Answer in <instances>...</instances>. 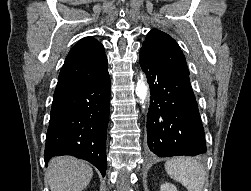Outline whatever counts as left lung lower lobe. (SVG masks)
Returning a JSON list of instances; mask_svg holds the SVG:
<instances>
[{"instance_id": "left-lung-lower-lobe-1", "label": "left lung lower lobe", "mask_w": 251, "mask_h": 191, "mask_svg": "<svg viewBox=\"0 0 251 191\" xmlns=\"http://www.w3.org/2000/svg\"><path fill=\"white\" fill-rule=\"evenodd\" d=\"M150 86L148 146L159 157L196 156L206 152L204 128L189 75L172 71L140 53Z\"/></svg>"}]
</instances>
